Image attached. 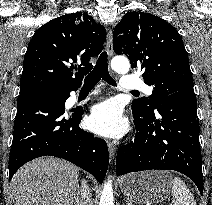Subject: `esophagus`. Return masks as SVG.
I'll return each mask as SVG.
<instances>
[{"label": "esophagus", "mask_w": 212, "mask_h": 205, "mask_svg": "<svg viewBox=\"0 0 212 205\" xmlns=\"http://www.w3.org/2000/svg\"><path fill=\"white\" fill-rule=\"evenodd\" d=\"M106 49L108 56L111 57L113 55V32L111 28L108 29L107 33ZM107 145L110 153V158L112 160L116 152V144H114L113 142H108Z\"/></svg>", "instance_id": "esophagus-1"}]
</instances>
